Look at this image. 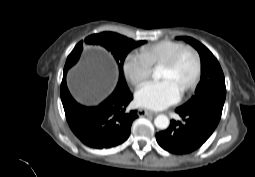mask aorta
Instances as JSON below:
<instances>
[{
	"instance_id": "1",
	"label": "aorta",
	"mask_w": 255,
	"mask_h": 177,
	"mask_svg": "<svg viewBox=\"0 0 255 177\" xmlns=\"http://www.w3.org/2000/svg\"><path fill=\"white\" fill-rule=\"evenodd\" d=\"M155 74H157V71L155 72ZM169 123H170V121H169L168 117H167L166 115H163V114L158 115V116L155 118V120H154L155 126H156L158 129H161V130L167 129L168 126H169Z\"/></svg>"
}]
</instances>
